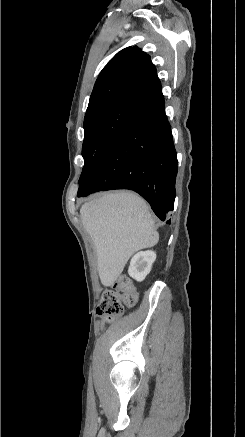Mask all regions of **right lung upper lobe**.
I'll list each match as a JSON object with an SVG mask.
<instances>
[{"label": "right lung upper lobe", "mask_w": 245, "mask_h": 437, "mask_svg": "<svg viewBox=\"0 0 245 437\" xmlns=\"http://www.w3.org/2000/svg\"><path fill=\"white\" fill-rule=\"evenodd\" d=\"M115 102L141 110L164 102L156 68L137 46L121 50L107 63L96 80L87 112Z\"/></svg>", "instance_id": "cb5924a9"}]
</instances>
